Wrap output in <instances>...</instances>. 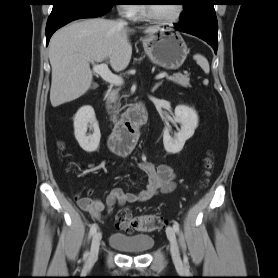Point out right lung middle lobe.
I'll use <instances>...</instances> for the list:
<instances>
[{"instance_id": "obj_1", "label": "right lung middle lobe", "mask_w": 278, "mask_h": 278, "mask_svg": "<svg viewBox=\"0 0 278 278\" xmlns=\"http://www.w3.org/2000/svg\"><path fill=\"white\" fill-rule=\"evenodd\" d=\"M53 4V9L55 10L62 5L68 3L84 4L89 6H94L102 9H111L114 5L115 0H51Z\"/></svg>"}]
</instances>
